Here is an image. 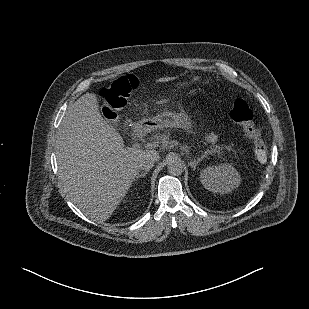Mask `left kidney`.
<instances>
[{"label":"left kidney","instance_id":"5707ae66","mask_svg":"<svg viewBox=\"0 0 309 309\" xmlns=\"http://www.w3.org/2000/svg\"><path fill=\"white\" fill-rule=\"evenodd\" d=\"M200 182L208 191L214 193H229L241 182L238 171L230 164L207 166L200 173Z\"/></svg>","mask_w":309,"mask_h":309}]
</instances>
